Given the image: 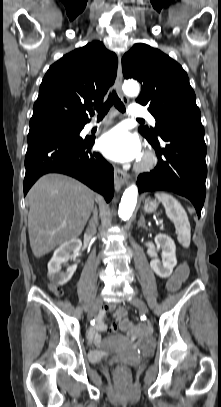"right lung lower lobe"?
I'll use <instances>...</instances> for the list:
<instances>
[{
  "instance_id": "1",
  "label": "right lung lower lobe",
  "mask_w": 221,
  "mask_h": 407,
  "mask_svg": "<svg viewBox=\"0 0 221 407\" xmlns=\"http://www.w3.org/2000/svg\"><path fill=\"white\" fill-rule=\"evenodd\" d=\"M27 141L24 195L40 176L57 172L80 180L102 194L107 202L111 200L113 167L101 154L91 151L94 140L68 133H43L30 136Z\"/></svg>"
}]
</instances>
